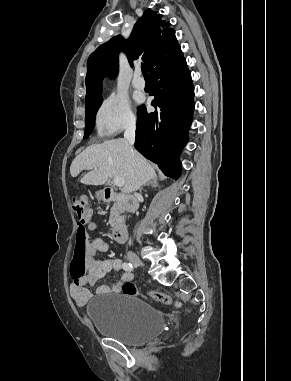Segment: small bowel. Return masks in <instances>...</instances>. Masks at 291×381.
Listing matches in <instances>:
<instances>
[{"label": "small bowel", "instance_id": "obj_1", "mask_svg": "<svg viewBox=\"0 0 291 381\" xmlns=\"http://www.w3.org/2000/svg\"><path fill=\"white\" fill-rule=\"evenodd\" d=\"M108 244L100 237L92 238L87 246L85 266L88 270L87 275L75 278L70 285V296L74 300L76 306L83 307L91 298V292L88 286L95 284L107 273L111 271H119L122 268V261L118 258L97 259L98 252L108 251ZM133 273L125 272L121 278L112 286L101 285L97 288L99 294L121 292L122 285L132 281Z\"/></svg>", "mask_w": 291, "mask_h": 381}]
</instances>
